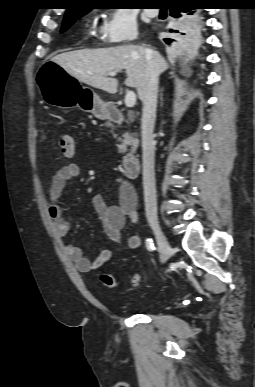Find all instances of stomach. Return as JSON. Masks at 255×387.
Returning <instances> with one entry per match:
<instances>
[{"label": "stomach", "instance_id": "obj_1", "mask_svg": "<svg viewBox=\"0 0 255 387\" xmlns=\"http://www.w3.org/2000/svg\"><path fill=\"white\" fill-rule=\"evenodd\" d=\"M36 82L44 101L49 105L59 108L77 106L99 119L108 117L107 106L99 96L53 61L42 67L36 75Z\"/></svg>", "mask_w": 255, "mask_h": 387}]
</instances>
